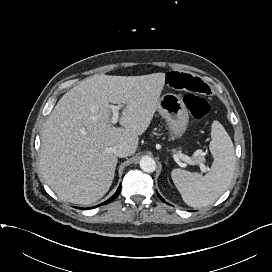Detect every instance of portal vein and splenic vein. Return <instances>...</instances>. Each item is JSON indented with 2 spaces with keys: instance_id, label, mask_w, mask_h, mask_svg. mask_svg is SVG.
I'll return each mask as SVG.
<instances>
[{
  "instance_id": "18ae733b",
  "label": "portal vein and splenic vein",
  "mask_w": 272,
  "mask_h": 272,
  "mask_svg": "<svg viewBox=\"0 0 272 272\" xmlns=\"http://www.w3.org/2000/svg\"><path fill=\"white\" fill-rule=\"evenodd\" d=\"M123 107V105H109V108L112 110L113 116L111 118V123L115 124L118 122L119 119V109H121ZM177 156L182 160L185 161L186 163L190 164V165H195L198 164L201 172L205 173L207 171L206 166L202 163V162H194L189 156L184 155L182 153H178L177 152Z\"/></svg>"
}]
</instances>
